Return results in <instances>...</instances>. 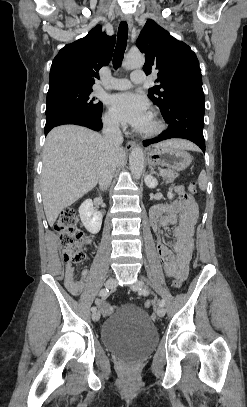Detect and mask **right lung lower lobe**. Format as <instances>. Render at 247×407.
<instances>
[{
    "mask_svg": "<svg viewBox=\"0 0 247 407\" xmlns=\"http://www.w3.org/2000/svg\"><path fill=\"white\" fill-rule=\"evenodd\" d=\"M101 114H87L78 111H60L46 116L45 135L55 126L63 124H76L88 127L95 131L102 129Z\"/></svg>",
    "mask_w": 247,
    "mask_h": 407,
    "instance_id": "1",
    "label": "right lung lower lobe"
}]
</instances>
